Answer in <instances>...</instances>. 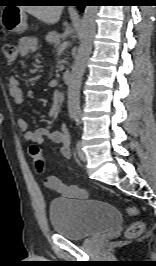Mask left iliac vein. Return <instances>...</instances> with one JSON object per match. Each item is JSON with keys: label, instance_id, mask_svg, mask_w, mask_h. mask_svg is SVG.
<instances>
[{"label": "left iliac vein", "instance_id": "4c4485c4", "mask_svg": "<svg viewBox=\"0 0 156 266\" xmlns=\"http://www.w3.org/2000/svg\"><path fill=\"white\" fill-rule=\"evenodd\" d=\"M77 154L78 157L82 160V161H86V154L85 152L82 150V146H81V142L78 141L77 143Z\"/></svg>", "mask_w": 156, "mask_h": 266}]
</instances>
